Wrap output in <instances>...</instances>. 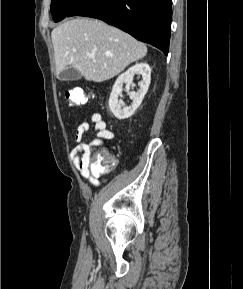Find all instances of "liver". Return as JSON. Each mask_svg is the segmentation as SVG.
<instances>
[{"label":"liver","mask_w":243,"mask_h":289,"mask_svg":"<svg viewBox=\"0 0 243 289\" xmlns=\"http://www.w3.org/2000/svg\"><path fill=\"white\" fill-rule=\"evenodd\" d=\"M51 38L56 74L74 68L87 81L109 80L147 53L144 43L97 19L64 22L52 30Z\"/></svg>","instance_id":"6515ba94"}]
</instances>
